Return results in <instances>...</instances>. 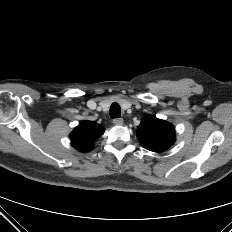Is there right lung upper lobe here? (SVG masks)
<instances>
[{"label": "right lung upper lobe", "instance_id": "1", "mask_svg": "<svg viewBox=\"0 0 232 232\" xmlns=\"http://www.w3.org/2000/svg\"><path fill=\"white\" fill-rule=\"evenodd\" d=\"M104 128L94 121L81 122L70 134L72 145L81 152L93 149V142L100 137Z\"/></svg>", "mask_w": 232, "mask_h": 232}]
</instances>
